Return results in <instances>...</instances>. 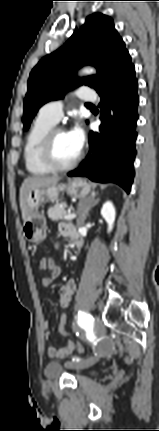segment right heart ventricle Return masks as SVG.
Wrapping results in <instances>:
<instances>
[{
  "mask_svg": "<svg viewBox=\"0 0 159 431\" xmlns=\"http://www.w3.org/2000/svg\"><path fill=\"white\" fill-rule=\"evenodd\" d=\"M54 125L51 120L39 114L26 136L23 157L25 167L32 175L43 176L53 172L41 158V146L46 134Z\"/></svg>",
  "mask_w": 159,
  "mask_h": 431,
  "instance_id": "e07e8e85",
  "label": "right heart ventricle"
}]
</instances>
